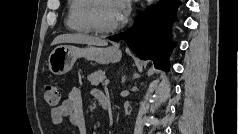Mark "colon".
Masks as SVG:
<instances>
[{"label": "colon", "mask_w": 239, "mask_h": 134, "mask_svg": "<svg viewBox=\"0 0 239 134\" xmlns=\"http://www.w3.org/2000/svg\"><path fill=\"white\" fill-rule=\"evenodd\" d=\"M44 99L45 101L51 105L56 106L60 100V92L59 89L52 84H47L43 89Z\"/></svg>", "instance_id": "obj_1"}]
</instances>
